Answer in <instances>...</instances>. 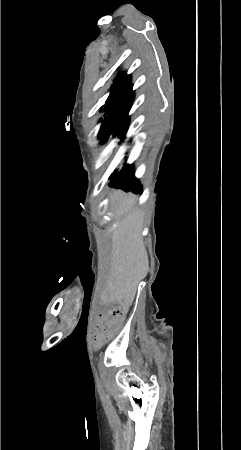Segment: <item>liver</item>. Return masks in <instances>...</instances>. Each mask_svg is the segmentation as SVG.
I'll return each instance as SVG.
<instances>
[{
    "label": "liver",
    "instance_id": "6515ba94",
    "mask_svg": "<svg viewBox=\"0 0 241 450\" xmlns=\"http://www.w3.org/2000/svg\"><path fill=\"white\" fill-rule=\"evenodd\" d=\"M111 200L113 206H117L116 218H125H122V222L112 234L107 292L112 300L131 306L137 286L149 270L142 236L144 212L133 210L136 200L134 194L115 190Z\"/></svg>",
    "mask_w": 241,
    "mask_h": 450
}]
</instances>
